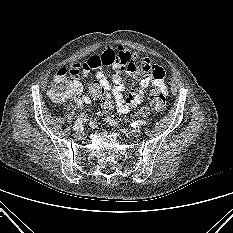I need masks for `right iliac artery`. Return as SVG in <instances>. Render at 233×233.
<instances>
[{"mask_svg": "<svg viewBox=\"0 0 233 233\" xmlns=\"http://www.w3.org/2000/svg\"><path fill=\"white\" fill-rule=\"evenodd\" d=\"M84 115L83 114H81L80 116H79V118L76 120V123L74 124V126H73V130L74 131H77V130H80V129H82L83 128V125H82V122H83V117Z\"/></svg>", "mask_w": 233, "mask_h": 233, "instance_id": "82829eb1", "label": "right iliac artery"}]
</instances>
